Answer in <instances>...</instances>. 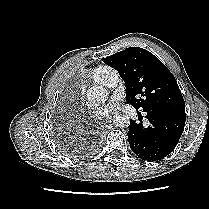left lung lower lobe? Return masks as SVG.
<instances>
[{
  "mask_svg": "<svg viewBox=\"0 0 209 209\" xmlns=\"http://www.w3.org/2000/svg\"><path fill=\"white\" fill-rule=\"evenodd\" d=\"M149 126L131 120L128 140L133 152L142 160L165 158L176 147L184 130L186 116L172 110L146 111Z\"/></svg>",
  "mask_w": 209,
  "mask_h": 209,
  "instance_id": "left-lung-lower-lobe-1",
  "label": "left lung lower lobe"
}]
</instances>
